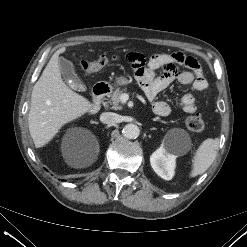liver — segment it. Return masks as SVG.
I'll list each match as a JSON object with an SVG mask.
<instances>
[{
  "mask_svg": "<svg viewBox=\"0 0 247 247\" xmlns=\"http://www.w3.org/2000/svg\"><path fill=\"white\" fill-rule=\"evenodd\" d=\"M65 51L66 48L62 47L52 55L32 90L28 124L37 148L46 145L65 124L81 117L93 106L61 78L58 58ZM91 162L73 163L71 166L82 168Z\"/></svg>",
  "mask_w": 247,
  "mask_h": 247,
  "instance_id": "6515ba94",
  "label": "liver"
}]
</instances>
